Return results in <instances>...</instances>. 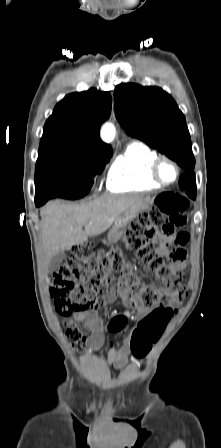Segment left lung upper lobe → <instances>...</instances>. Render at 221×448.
<instances>
[{"label": "left lung upper lobe", "instance_id": "obj_1", "mask_svg": "<svg viewBox=\"0 0 221 448\" xmlns=\"http://www.w3.org/2000/svg\"><path fill=\"white\" fill-rule=\"evenodd\" d=\"M115 112L126 133L157 149L186 170L194 168L190 134L183 113L159 87L120 84Z\"/></svg>", "mask_w": 221, "mask_h": 448}]
</instances>
